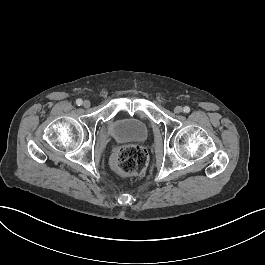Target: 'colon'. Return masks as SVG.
Segmentation results:
<instances>
[{
	"label": "colon",
	"mask_w": 265,
	"mask_h": 265,
	"mask_svg": "<svg viewBox=\"0 0 265 265\" xmlns=\"http://www.w3.org/2000/svg\"><path fill=\"white\" fill-rule=\"evenodd\" d=\"M149 157L146 150L136 145H126L112 158V168L121 175H138L145 171Z\"/></svg>",
	"instance_id": "colon-1"
}]
</instances>
